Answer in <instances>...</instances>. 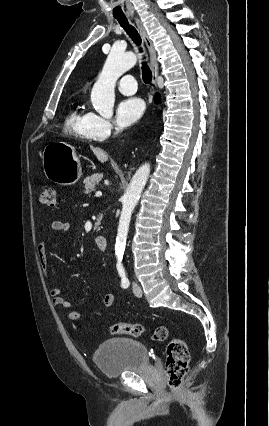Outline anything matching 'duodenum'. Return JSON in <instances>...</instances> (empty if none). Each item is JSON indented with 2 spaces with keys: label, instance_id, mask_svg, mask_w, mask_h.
<instances>
[{
  "label": "duodenum",
  "instance_id": "410a0bca",
  "mask_svg": "<svg viewBox=\"0 0 269 426\" xmlns=\"http://www.w3.org/2000/svg\"><path fill=\"white\" fill-rule=\"evenodd\" d=\"M96 245L100 250L105 251L108 247L107 238L104 237V236H101V235L97 236L96 237Z\"/></svg>",
  "mask_w": 269,
  "mask_h": 426
}]
</instances>
